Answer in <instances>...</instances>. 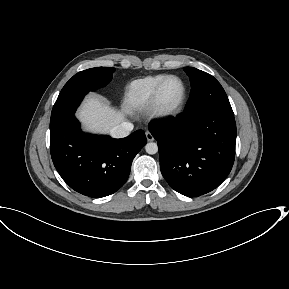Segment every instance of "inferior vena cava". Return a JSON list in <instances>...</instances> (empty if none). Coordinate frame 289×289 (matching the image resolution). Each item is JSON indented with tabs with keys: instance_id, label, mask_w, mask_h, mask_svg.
<instances>
[{
	"instance_id": "inferior-vena-cava-1",
	"label": "inferior vena cava",
	"mask_w": 289,
	"mask_h": 289,
	"mask_svg": "<svg viewBox=\"0 0 289 289\" xmlns=\"http://www.w3.org/2000/svg\"><path fill=\"white\" fill-rule=\"evenodd\" d=\"M134 126L130 122H122L111 130V135L114 138H124L130 134Z\"/></svg>"
}]
</instances>
